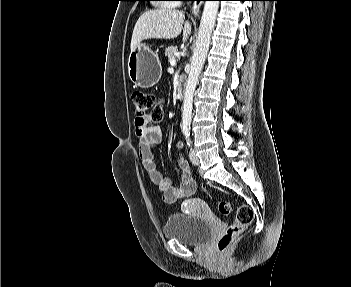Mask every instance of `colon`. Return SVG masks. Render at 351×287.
Returning <instances> with one entry per match:
<instances>
[{"mask_svg":"<svg viewBox=\"0 0 351 287\" xmlns=\"http://www.w3.org/2000/svg\"><path fill=\"white\" fill-rule=\"evenodd\" d=\"M132 102L135 108L136 119L145 120L150 117L152 121L158 122L162 118V101L151 93L135 91L132 94ZM219 212L228 216L231 213V206L227 201H221L218 205ZM253 210L248 205H240L237 208L234 221L217 240V248L220 252L226 250L233 240L241 234L252 222Z\"/></svg>","mask_w":351,"mask_h":287,"instance_id":"5ec220e1","label":"colon"}]
</instances>
